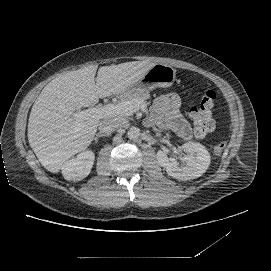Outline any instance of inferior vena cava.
<instances>
[{
    "label": "inferior vena cava",
    "instance_id": "inferior-vena-cava-1",
    "mask_svg": "<svg viewBox=\"0 0 271 271\" xmlns=\"http://www.w3.org/2000/svg\"><path fill=\"white\" fill-rule=\"evenodd\" d=\"M125 123L122 119L113 118L110 120H104L99 124V130L101 133H112L115 130L124 127Z\"/></svg>",
    "mask_w": 271,
    "mask_h": 271
}]
</instances>
